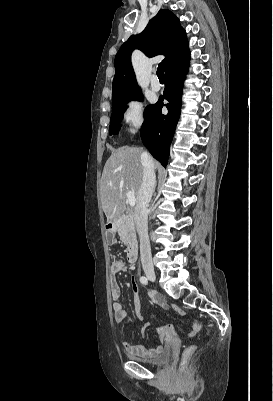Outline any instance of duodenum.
<instances>
[{
    "label": "duodenum",
    "instance_id": "obj_1",
    "mask_svg": "<svg viewBox=\"0 0 273 401\" xmlns=\"http://www.w3.org/2000/svg\"><path fill=\"white\" fill-rule=\"evenodd\" d=\"M134 223V216L132 213H125L121 215L116 221L110 223L107 228L109 232H115L123 224L132 226ZM138 258V244L134 238L128 240L127 259L129 263H135Z\"/></svg>",
    "mask_w": 273,
    "mask_h": 401
}]
</instances>
